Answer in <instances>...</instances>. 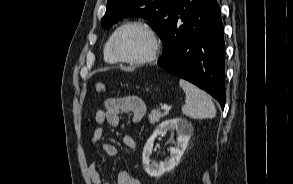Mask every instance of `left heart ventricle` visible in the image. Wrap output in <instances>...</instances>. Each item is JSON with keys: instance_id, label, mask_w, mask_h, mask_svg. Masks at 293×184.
<instances>
[{"instance_id": "b2bd125f", "label": "left heart ventricle", "mask_w": 293, "mask_h": 184, "mask_svg": "<svg viewBox=\"0 0 293 184\" xmlns=\"http://www.w3.org/2000/svg\"><path fill=\"white\" fill-rule=\"evenodd\" d=\"M148 33L139 27H128L122 30L116 39V50L125 58H140L151 49Z\"/></svg>"}]
</instances>
